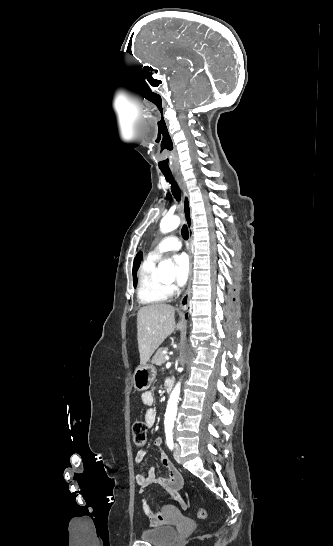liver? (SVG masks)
Instances as JSON below:
<instances>
[{"label":"liver","mask_w":333,"mask_h":546,"mask_svg":"<svg viewBox=\"0 0 333 546\" xmlns=\"http://www.w3.org/2000/svg\"><path fill=\"white\" fill-rule=\"evenodd\" d=\"M175 309L167 304H152L139 309L137 314V340L140 364L146 365L155 350L175 331Z\"/></svg>","instance_id":"1"}]
</instances>
